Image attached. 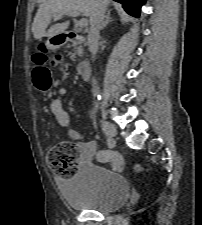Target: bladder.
I'll list each match as a JSON object with an SVG mask.
<instances>
[{"label": "bladder", "mask_w": 202, "mask_h": 225, "mask_svg": "<svg viewBox=\"0 0 202 225\" xmlns=\"http://www.w3.org/2000/svg\"><path fill=\"white\" fill-rule=\"evenodd\" d=\"M62 194L75 210L113 213L121 210L129 196V182L105 166L83 164L61 181Z\"/></svg>", "instance_id": "bladder-1"}]
</instances>
